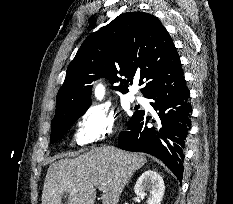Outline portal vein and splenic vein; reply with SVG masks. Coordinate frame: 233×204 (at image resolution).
Segmentation results:
<instances>
[{"label": "portal vein and splenic vein", "instance_id": "portal-vein-and-splenic-vein-1", "mask_svg": "<svg viewBox=\"0 0 233 204\" xmlns=\"http://www.w3.org/2000/svg\"><path fill=\"white\" fill-rule=\"evenodd\" d=\"M98 189H99V190H102V189H103V186H102V185L98 186Z\"/></svg>", "mask_w": 233, "mask_h": 204}]
</instances>
